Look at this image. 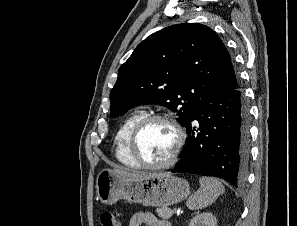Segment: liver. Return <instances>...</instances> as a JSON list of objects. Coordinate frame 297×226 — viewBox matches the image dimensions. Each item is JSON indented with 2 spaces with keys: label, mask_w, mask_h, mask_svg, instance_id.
Segmentation results:
<instances>
[{
  "label": "liver",
  "mask_w": 297,
  "mask_h": 226,
  "mask_svg": "<svg viewBox=\"0 0 297 226\" xmlns=\"http://www.w3.org/2000/svg\"><path fill=\"white\" fill-rule=\"evenodd\" d=\"M114 171L119 177L126 178V179H143L154 174H145L139 172H128L120 169H114Z\"/></svg>",
  "instance_id": "6515ba94"
}]
</instances>
